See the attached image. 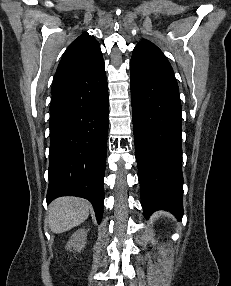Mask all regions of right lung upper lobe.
<instances>
[{"label": "right lung upper lobe", "mask_w": 231, "mask_h": 286, "mask_svg": "<svg viewBox=\"0 0 231 286\" xmlns=\"http://www.w3.org/2000/svg\"><path fill=\"white\" fill-rule=\"evenodd\" d=\"M105 70L99 43L88 33L75 39L65 51L56 71L51 94L93 78Z\"/></svg>", "instance_id": "right-lung-upper-lobe-1"}]
</instances>
